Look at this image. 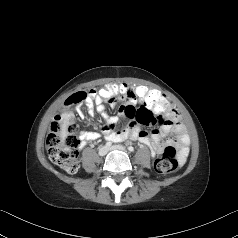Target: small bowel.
<instances>
[{
    "mask_svg": "<svg viewBox=\"0 0 238 238\" xmlns=\"http://www.w3.org/2000/svg\"><path fill=\"white\" fill-rule=\"evenodd\" d=\"M136 87L128 85V91L124 95H119L117 98L119 102H123L120 107V114L129 118L127 126L123 130H116L119 123L118 116H108L105 111V106L98 100L96 91L90 90L84 99L87 109L92 112H98L104 119V126L101 129L102 135L109 141L122 142L126 139L139 141L140 143L148 146L152 154H159L165 150L167 146L175 145L178 148V154L181 161L185 159L188 154V147L190 143L189 136L186 128L179 120L177 112H173L163 117L160 121L159 128L152 130L149 134L143 130L140 125L153 126L157 122V113L150 110V106L146 104V99H139L135 96L134 90ZM67 100V99H66ZM167 102V101H165ZM114 106L116 103H110ZM65 111L61 113L64 116H74L70 110L71 107L65 103ZM77 112L80 116L83 115L79 106ZM168 134H174V139L164 140ZM101 134L96 131H82L79 135L80 148L87 145L88 142L97 140Z\"/></svg>",
    "mask_w": 238,
    "mask_h": 238,
    "instance_id": "small-bowel-1",
    "label": "small bowel"
}]
</instances>
